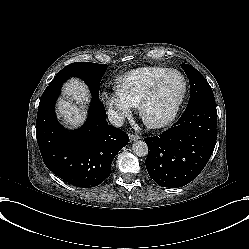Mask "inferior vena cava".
Listing matches in <instances>:
<instances>
[{
    "label": "inferior vena cava",
    "mask_w": 249,
    "mask_h": 249,
    "mask_svg": "<svg viewBox=\"0 0 249 249\" xmlns=\"http://www.w3.org/2000/svg\"><path fill=\"white\" fill-rule=\"evenodd\" d=\"M107 119L111 125L121 127L124 123V114L110 107L107 110Z\"/></svg>",
    "instance_id": "1"
}]
</instances>
